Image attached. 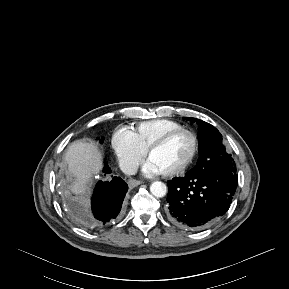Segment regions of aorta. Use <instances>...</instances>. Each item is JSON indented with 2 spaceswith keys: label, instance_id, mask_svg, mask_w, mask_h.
<instances>
[{
  "label": "aorta",
  "instance_id": "obj_1",
  "mask_svg": "<svg viewBox=\"0 0 289 289\" xmlns=\"http://www.w3.org/2000/svg\"><path fill=\"white\" fill-rule=\"evenodd\" d=\"M150 192L155 197H164L167 193V187L163 182L156 181L151 184Z\"/></svg>",
  "mask_w": 289,
  "mask_h": 289
}]
</instances>
